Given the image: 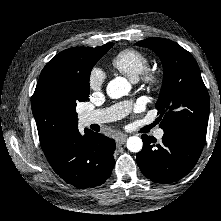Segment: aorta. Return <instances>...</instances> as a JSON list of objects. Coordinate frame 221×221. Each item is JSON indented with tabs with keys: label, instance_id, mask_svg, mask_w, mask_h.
<instances>
[{
	"label": "aorta",
	"instance_id": "aorta-1",
	"mask_svg": "<svg viewBox=\"0 0 221 221\" xmlns=\"http://www.w3.org/2000/svg\"><path fill=\"white\" fill-rule=\"evenodd\" d=\"M131 90V84L124 77H116L111 80L106 88L107 94L112 99H118L128 94ZM127 149L131 152L137 153L143 147L142 139L138 136H131L127 139Z\"/></svg>",
	"mask_w": 221,
	"mask_h": 221
}]
</instances>
